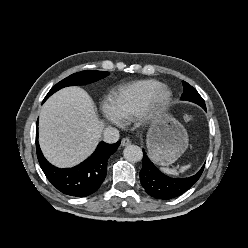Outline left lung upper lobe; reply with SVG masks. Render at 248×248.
<instances>
[{"label":"left lung upper lobe","mask_w":248,"mask_h":248,"mask_svg":"<svg viewBox=\"0 0 248 248\" xmlns=\"http://www.w3.org/2000/svg\"><path fill=\"white\" fill-rule=\"evenodd\" d=\"M183 89L184 92L181 96V100L191 101L200 105L201 107H205V102L203 98L200 96V94L196 91L195 88H193L187 82L183 81Z\"/></svg>","instance_id":"1"}]
</instances>
